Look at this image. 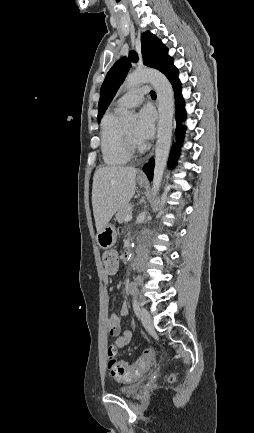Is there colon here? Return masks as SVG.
Returning a JSON list of instances; mask_svg holds the SVG:
<instances>
[{
    "instance_id": "obj_1",
    "label": "colon",
    "mask_w": 254,
    "mask_h": 433,
    "mask_svg": "<svg viewBox=\"0 0 254 433\" xmlns=\"http://www.w3.org/2000/svg\"><path fill=\"white\" fill-rule=\"evenodd\" d=\"M102 263L106 273L114 274L118 266V253L115 250H107L102 254ZM108 370L112 377L118 382H132L138 379L152 364L153 355L151 351L141 354L133 364H128L116 359L117 347L109 345Z\"/></svg>"
}]
</instances>
